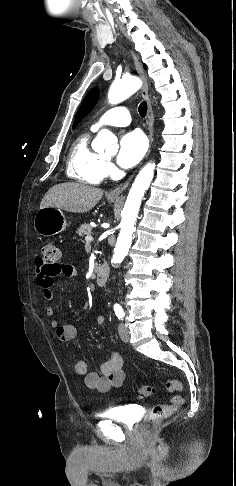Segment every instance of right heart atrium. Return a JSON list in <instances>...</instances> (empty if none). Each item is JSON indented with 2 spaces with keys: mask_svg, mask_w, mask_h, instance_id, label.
<instances>
[{
  "mask_svg": "<svg viewBox=\"0 0 236 486\" xmlns=\"http://www.w3.org/2000/svg\"><path fill=\"white\" fill-rule=\"evenodd\" d=\"M104 172H105L106 176L111 175L114 172L113 164L110 163V162H105L104 163Z\"/></svg>",
  "mask_w": 236,
  "mask_h": 486,
  "instance_id": "obj_1",
  "label": "right heart atrium"
}]
</instances>
